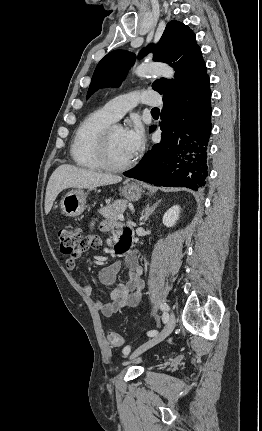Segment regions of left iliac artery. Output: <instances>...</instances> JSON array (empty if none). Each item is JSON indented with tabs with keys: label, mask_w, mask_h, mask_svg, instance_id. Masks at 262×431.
Returning a JSON list of instances; mask_svg holds the SVG:
<instances>
[{
	"label": "left iliac artery",
	"mask_w": 262,
	"mask_h": 431,
	"mask_svg": "<svg viewBox=\"0 0 262 431\" xmlns=\"http://www.w3.org/2000/svg\"><path fill=\"white\" fill-rule=\"evenodd\" d=\"M160 308L163 310V311H168L169 310V306L166 304V303H163V304H161L160 305ZM157 334V331L156 330H150V331H148L147 332V336H149V337H153V336H155ZM129 351H130V347L129 346H126L124 349H123V353L126 355V354H128L129 353Z\"/></svg>",
	"instance_id": "44dca946"
}]
</instances>
